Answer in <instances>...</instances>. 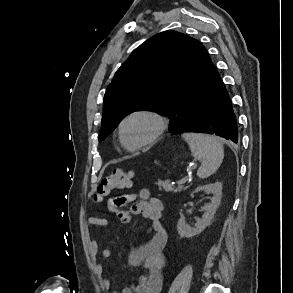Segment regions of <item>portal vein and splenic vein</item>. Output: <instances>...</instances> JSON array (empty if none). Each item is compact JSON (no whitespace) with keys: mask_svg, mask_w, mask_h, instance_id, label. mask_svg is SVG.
I'll use <instances>...</instances> for the list:
<instances>
[{"mask_svg":"<svg viewBox=\"0 0 293 293\" xmlns=\"http://www.w3.org/2000/svg\"><path fill=\"white\" fill-rule=\"evenodd\" d=\"M186 181H187V178H183L178 182V184L179 185L184 184Z\"/></svg>","mask_w":293,"mask_h":293,"instance_id":"portal-vein-and-splenic-vein-1","label":"portal vein and splenic vein"}]
</instances>
